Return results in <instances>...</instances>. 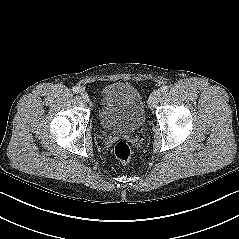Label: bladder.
Segmentation results:
<instances>
[{"instance_id": "obj_1", "label": "bladder", "mask_w": 239, "mask_h": 239, "mask_svg": "<svg viewBox=\"0 0 239 239\" xmlns=\"http://www.w3.org/2000/svg\"><path fill=\"white\" fill-rule=\"evenodd\" d=\"M99 120L108 131L133 133L144 124L145 111L140 92L126 82H112L100 96Z\"/></svg>"}]
</instances>
